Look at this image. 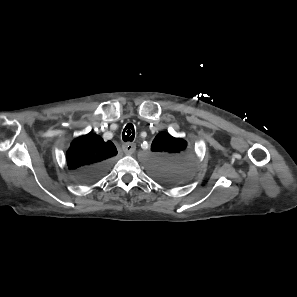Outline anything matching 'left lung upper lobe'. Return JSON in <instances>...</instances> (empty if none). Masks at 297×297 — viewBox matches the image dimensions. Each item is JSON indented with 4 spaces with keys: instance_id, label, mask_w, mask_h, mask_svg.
<instances>
[{
    "instance_id": "1",
    "label": "left lung upper lobe",
    "mask_w": 297,
    "mask_h": 297,
    "mask_svg": "<svg viewBox=\"0 0 297 297\" xmlns=\"http://www.w3.org/2000/svg\"><path fill=\"white\" fill-rule=\"evenodd\" d=\"M186 141L166 132L159 133L152 142L149 170L157 180L175 184L190 174L191 154L186 151Z\"/></svg>"
}]
</instances>
